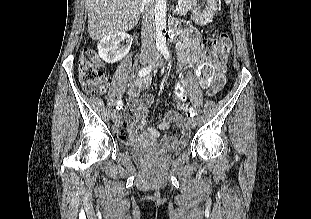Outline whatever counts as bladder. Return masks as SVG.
Instances as JSON below:
<instances>
[{
	"label": "bladder",
	"instance_id": "31cf9c89",
	"mask_svg": "<svg viewBox=\"0 0 311 219\" xmlns=\"http://www.w3.org/2000/svg\"><path fill=\"white\" fill-rule=\"evenodd\" d=\"M125 147L129 151L140 152V153L147 152L146 147L136 145L135 142H127V143H125ZM183 148H184V143H178V144L174 145L173 147L163 149V152L166 154H176V153L180 152Z\"/></svg>",
	"mask_w": 311,
	"mask_h": 219
}]
</instances>
